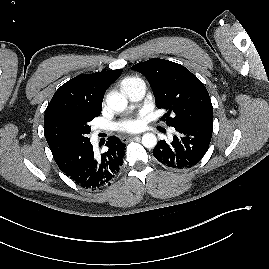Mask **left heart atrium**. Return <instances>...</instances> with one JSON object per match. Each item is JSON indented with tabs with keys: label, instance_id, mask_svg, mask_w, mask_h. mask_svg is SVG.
<instances>
[{
	"label": "left heart atrium",
	"instance_id": "obj_1",
	"mask_svg": "<svg viewBox=\"0 0 269 269\" xmlns=\"http://www.w3.org/2000/svg\"><path fill=\"white\" fill-rule=\"evenodd\" d=\"M140 128V121L138 119H130L118 124L117 130L120 132H135Z\"/></svg>",
	"mask_w": 269,
	"mask_h": 269
}]
</instances>
